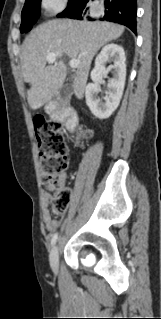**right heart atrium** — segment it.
I'll return each mask as SVG.
<instances>
[{
	"label": "right heart atrium",
	"instance_id": "right-heart-atrium-1",
	"mask_svg": "<svg viewBox=\"0 0 161 319\" xmlns=\"http://www.w3.org/2000/svg\"><path fill=\"white\" fill-rule=\"evenodd\" d=\"M68 0H41V6L47 15L61 12L67 5Z\"/></svg>",
	"mask_w": 161,
	"mask_h": 319
}]
</instances>
